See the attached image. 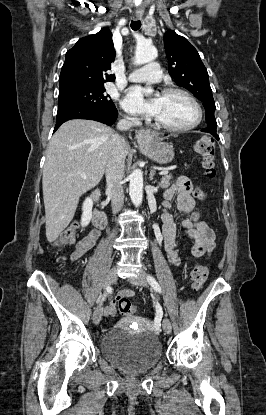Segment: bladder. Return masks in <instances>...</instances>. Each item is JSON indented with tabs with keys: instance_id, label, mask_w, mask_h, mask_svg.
<instances>
[{
	"instance_id": "31cf9c89",
	"label": "bladder",
	"mask_w": 266,
	"mask_h": 415,
	"mask_svg": "<svg viewBox=\"0 0 266 415\" xmlns=\"http://www.w3.org/2000/svg\"><path fill=\"white\" fill-rule=\"evenodd\" d=\"M103 357L129 374H139L153 368L162 357L158 337L149 331L130 334L122 329H110L102 338Z\"/></svg>"
}]
</instances>
